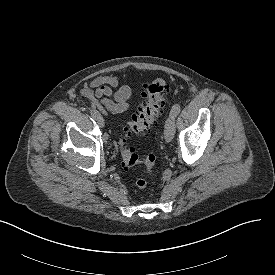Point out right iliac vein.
I'll use <instances>...</instances> for the list:
<instances>
[{
  "label": "right iliac vein",
  "mask_w": 275,
  "mask_h": 275,
  "mask_svg": "<svg viewBox=\"0 0 275 275\" xmlns=\"http://www.w3.org/2000/svg\"><path fill=\"white\" fill-rule=\"evenodd\" d=\"M97 124L100 126V127H103L104 126V119L103 117L98 114L97 117L95 118Z\"/></svg>",
  "instance_id": "1"
}]
</instances>
